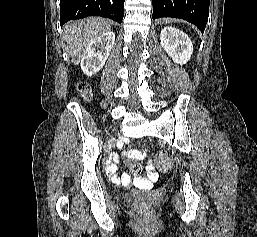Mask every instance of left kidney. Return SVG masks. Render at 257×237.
<instances>
[{
	"label": "left kidney",
	"instance_id": "1",
	"mask_svg": "<svg viewBox=\"0 0 257 237\" xmlns=\"http://www.w3.org/2000/svg\"><path fill=\"white\" fill-rule=\"evenodd\" d=\"M160 43L172 60L178 64L187 63L193 53L190 38L180 30L165 27L160 34Z\"/></svg>",
	"mask_w": 257,
	"mask_h": 237
}]
</instances>
